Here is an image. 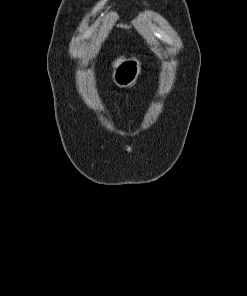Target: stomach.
I'll return each instance as SVG.
<instances>
[{
  "mask_svg": "<svg viewBox=\"0 0 247 296\" xmlns=\"http://www.w3.org/2000/svg\"><path fill=\"white\" fill-rule=\"evenodd\" d=\"M140 61L136 58L124 59L117 63L112 73V81L120 88L135 84L141 73Z\"/></svg>",
  "mask_w": 247,
  "mask_h": 296,
  "instance_id": "1",
  "label": "stomach"
}]
</instances>
